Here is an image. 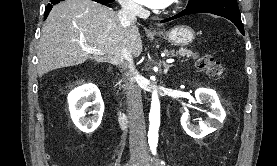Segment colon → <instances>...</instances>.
Listing matches in <instances>:
<instances>
[{"instance_id":"colon-1","label":"colon","mask_w":277,"mask_h":166,"mask_svg":"<svg viewBox=\"0 0 277 166\" xmlns=\"http://www.w3.org/2000/svg\"><path fill=\"white\" fill-rule=\"evenodd\" d=\"M196 65L212 77H219L224 72V64L215 59L210 53H203L197 56Z\"/></svg>"}]
</instances>
